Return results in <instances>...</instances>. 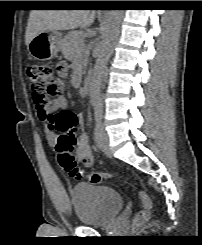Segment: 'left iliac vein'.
I'll list each match as a JSON object with an SVG mask.
<instances>
[{"label":"left iliac vein","instance_id":"obj_1","mask_svg":"<svg viewBox=\"0 0 202 245\" xmlns=\"http://www.w3.org/2000/svg\"><path fill=\"white\" fill-rule=\"evenodd\" d=\"M95 141L100 150L107 156L111 157L112 152L109 146V135L102 123H99L95 130Z\"/></svg>","mask_w":202,"mask_h":245}]
</instances>
